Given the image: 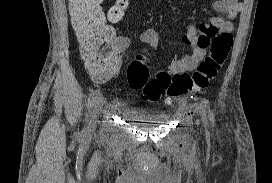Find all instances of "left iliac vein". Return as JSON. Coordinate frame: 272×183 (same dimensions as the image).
I'll return each mask as SVG.
<instances>
[{
    "mask_svg": "<svg viewBox=\"0 0 272 183\" xmlns=\"http://www.w3.org/2000/svg\"><path fill=\"white\" fill-rule=\"evenodd\" d=\"M201 115H202V119H203V120H206L205 114H204V113H201Z\"/></svg>",
    "mask_w": 272,
    "mask_h": 183,
    "instance_id": "4c4485c4",
    "label": "left iliac vein"
}]
</instances>
